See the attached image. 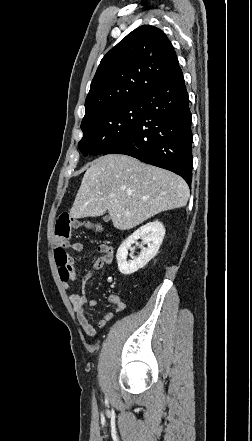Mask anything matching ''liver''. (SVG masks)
I'll list each match as a JSON object with an SVG mask.
<instances>
[{"label": "liver", "mask_w": 252, "mask_h": 441, "mask_svg": "<svg viewBox=\"0 0 252 441\" xmlns=\"http://www.w3.org/2000/svg\"><path fill=\"white\" fill-rule=\"evenodd\" d=\"M188 198V185L180 176L110 154L95 159L85 172L70 216L96 217L108 211L115 228L129 230L160 212L184 207Z\"/></svg>", "instance_id": "1"}]
</instances>
